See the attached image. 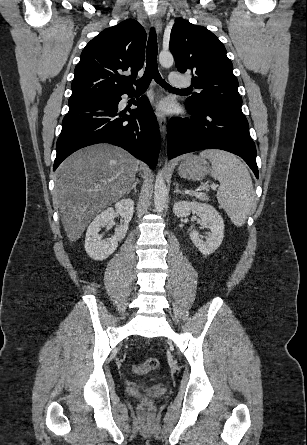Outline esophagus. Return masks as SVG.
I'll list each match as a JSON object with an SVG mask.
<instances>
[{"mask_svg":"<svg viewBox=\"0 0 307 445\" xmlns=\"http://www.w3.org/2000/svg\"><path fill=\"white\" fill-rule=\"evenodd\" d=\"M152 25L155 28V31L159 34L161 33L162 30V21L161 18L158 14H156L153 18H152ZM156 116H157V121L159 123V128H160V132L162 134L163 137H165L166 135V117H164L162 114H160L159 112H156Z\"/></svg>","mask_w":307,"mask_h":445,"instance_id":"34e87169","label":"esophagus"}]
</instances>
